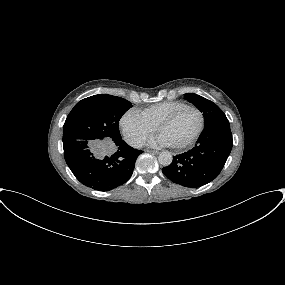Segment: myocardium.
<instances>
[{"label": "myocardium", "instance_id": "f54148a6", "mask_svg": "<svg viewBox=\"0 0 285 285\" xmlns=\"http://www.w3.org/2000/svg\"><path fill=\"white\" fill-rule=\"evenodd\" d=\"M186 109H193L195 110L198 115H199V119H200V124H199V128L198 130L196 131V133L189 139L187 140L186 142H184L183 144H180V145H177V146H170L171 148L175 149V150H181V149H185L191 145H193L198 139L199 137L201 136L204 128H205V116H204V113L202 112L201 109H199L197 106H194V105H184L178 109H176L174 112H172L171 114H169L167 117H165L164 119H162L156 126V131L159 132V130L172 123L175 118L184 110Z\"/></svg>", "mask_w": 285, "mask_h": 285}]
</instances>
